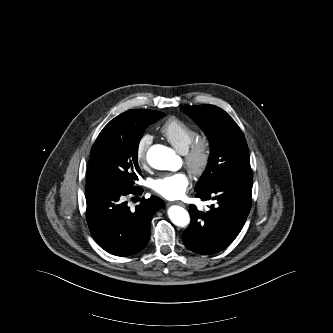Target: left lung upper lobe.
<instances>
[{
	"label": "left lung upper lobe",
	"mask_w": 333,
	"mask_h": 333,
	"mask_svg": "<svg viewBox=\"0 0 333 333\" xmlns=\"http://www.w3.org/2000/svg\"><path fill=\"white\" fill-rule=\"evenodd\" d=\"M181 109L206 131L211 145L209 163L195 187L196 192L212 188L228 178L252 174L244 135L224 110L213 105Z\"/></svg>",
	"instance_id": "left-lung-upper-lobe-1"
}]
</instances>
